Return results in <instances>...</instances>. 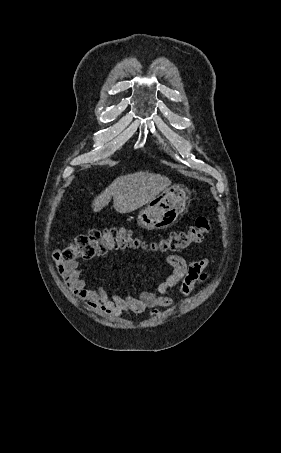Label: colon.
<instances>
[{
    "mask_svg": "<svg viewBox=\"0 0 281 453\" xmlns=\"http://www.w3.org/2000/svg\"><path fill=\"white\" fill-rule=\"evenodd\" d=\"M210 230V221L201 217L185 230H167L160 233L158 246H152V255L162 252H186L201 242ZM142 233L136 226H96L87 233L75 236L69 247L63 251L66 262L89 261L103 257L109 252L121 249L133 237Z\"/></svg>",
    "mask_w": 281,
    "mask_h": 453,
    "instance_id": "5ec220e1",
    "label": "colon"
}]
</instances>
